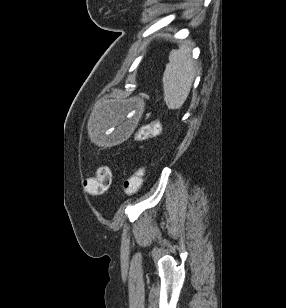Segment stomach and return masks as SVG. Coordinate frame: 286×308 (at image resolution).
<instances>
[{
    "label": "stomach",
    "instance_id": "1",
    "mask_svg": "<svg viewBox=\"0 0 286 308\" xmlns=\"http://www.w3.org/2000/svg\"><path fill=\"white\" fill-rule=\"evenodd\" d=\"M140 100H118L110 96L109 100H100L103 112H90V119H95V125H87L91 144H131L128 137L131 125H136Z\"/></svg>",
    "mask_w": 286,
    "mask_h": 308
}]
</instances>
